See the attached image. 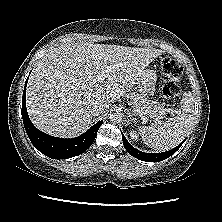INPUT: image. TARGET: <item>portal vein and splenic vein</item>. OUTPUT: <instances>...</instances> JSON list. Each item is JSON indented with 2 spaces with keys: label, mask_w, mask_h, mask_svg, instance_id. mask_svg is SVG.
Listing matches in <instances>:
<instances>
[{
  "label": "portal vein and splenic vein",
  "mask_w": 222,
  "mask_h": 222,
  "mask_svg": "<svg viewBox=\"0 0 222 222\" xmlns=\"http://www.w3.org/2000/svg\"><path fill=\"white\" fill-rule=\"evenodd\" d=\"M133 109H134V111H135L136 114L141 115V116L143 115V114L140 113L138 110H136L134 106H133ZM165 111H168V112L173 113V110H172V109H165ZM159 119H160V118H155L156 121H158Z\"/></svg>",
  "instance_id": "portal-vein-and-splenic-vein-1"
}]
</instances>
